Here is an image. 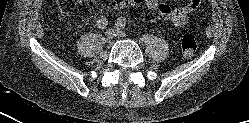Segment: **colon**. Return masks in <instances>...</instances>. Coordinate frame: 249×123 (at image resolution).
I'll return each instance as SVG.
<instances>
[{
  "label": "colon",
  "instance_id": "5ec220e1",
  "mask_svg": "<svg viewBox=\"0 0 249 123\" xmlns=\"http://www.w3.org/2000/svg\"><path fill=\"white\" fill-rule=\"evenodd\" d=\"M181 52L184 57L190 58L194 56L197 50V42L192 34H185L181 39Z\"/></svg>",
  "mask_w": 249,
  "mask_h": 123
}]
</instances>
